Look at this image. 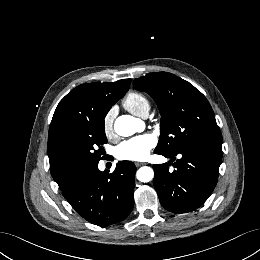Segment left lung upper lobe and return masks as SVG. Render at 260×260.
<instances>
[{
	"label": "left lung upper lobe",
	"mask_w": 260,
	"mask_h": 260,
	"mask_svg": "<svg viewBox=\"0 0 260 260\" xmlns=\"http://www.w3.org/2000/svg\"><path fill=\"white\" fill-rule=\"evenodd\" d=\"M133 84L154 99L161 114L155 152L173 154L191 145L222 144L214 112L192 84L167 72L151 73Z\"/></svg>",
	"instance_id": "left-lung-upper-lobe-1"
}]
</instances>
